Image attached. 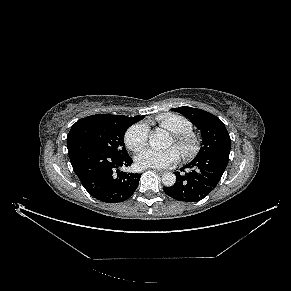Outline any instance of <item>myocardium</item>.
<instances>
[{"instance_id":"obj_1","label":"myocardium","mask_w":291,"mask_h":291,"mask_svg":"<svg viewBox=\"0 0 291 291\" xmlns=\"http://www.w3.org/2000/svg\"><path fill=\"white\" fill-rule=\"evenodd\" d=\"M173 139L185 159L194 157L200 150V137L192 131L173 134Z\"/></svg>"}]
</instances>
